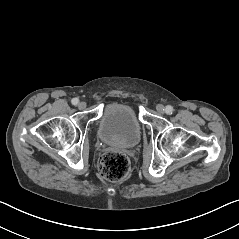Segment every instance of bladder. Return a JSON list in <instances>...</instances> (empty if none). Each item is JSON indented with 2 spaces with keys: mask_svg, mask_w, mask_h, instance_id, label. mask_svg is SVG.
Instances as JSON below:
<instances>
[{
  "mask_svg": "<svg viewBox=\"0 0 239 239\" xmlns=\"http://www.w3.org/2000/svg\"><path fill=\"white\" fill-rule=\"evenodd\" d=\"M98 137L105 144L135 147L141 139V126L135 110L123 103L107 105L99 120Z\"/></svg>",
  "mask_w": 239,
  "mask_h": 239,
  "instance_id": "obj_1",
  "label": "bladder"
}]
</instances>
